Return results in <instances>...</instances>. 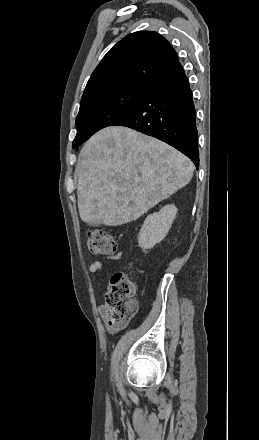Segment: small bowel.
<instances>
[{
  "label": "small bowel",
  "mask_w": 259,
  "mask_h": 440,
  "mask_svg": "<svg viewBox=\"0 0 259 440\" xmlns=\"http://www.w3.org/2000/svg\"><path fill=\"white\" fill-rule=\"evenodd\" d=\"M121 257H122V251L119 250V251H117L115 254L111 255V256L109 257V259H111V260H118V259H120ZM102 266H103V264H102L101 261H94V262L91 263V265L89 266V272H90V273H96V272H98V271H100V270L102 269ZM99 311H100V313L105 317V312H104V307H103V306L100 307ZM106 329H107V331H108L110 334H113V333H115V332L117 331L116 328H113V327H111V326H109V325L106 326Z\"/></svg>",
  "instance_id": "obj_1"
}]
</instances>
